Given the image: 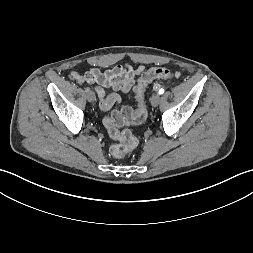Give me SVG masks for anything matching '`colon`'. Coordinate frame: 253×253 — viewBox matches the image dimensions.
Returning <instances> with one entry per match:
<instances>
[{
	"mask_svg": "<svg viewBox=\"0 0 253 253\" xmlns=\"http://www.w3.org/2000/svg\"><path fill=\"white\" fill-rule=\"evenodd\" d=\"M174 76L175 74L168 68H151L141 76L134 88L137 101L136 109L125 106L103 120L109 137L116 142L110 148L111 157L121 158L137 146L138 140L134 134L130 130H122L121 127L124 125H140L145 122L147 118L145 92L148 85L154 80L169 82Z\"/></svg>",
	"mask_w": 253,
	"mask_h": 253,
	"instance_id": "1",
	"label": "colon"
}]
</instances>
